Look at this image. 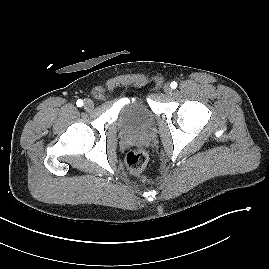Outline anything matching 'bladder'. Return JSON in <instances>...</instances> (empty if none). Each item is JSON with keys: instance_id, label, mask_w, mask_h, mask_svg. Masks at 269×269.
I'll use <instances>...</instances> for the list:
<instances>
[{"instance_id": "bladder-1", "label": "bladder", "mask_w": 269, "mask_h": 269, "mask_svg": "<svg viewBox=\"0 0 269 269\" xmlns=\"http://www.w3.org/2000/svg\"><path fill=\"white\" fill-rule=\"evenodd\" d=\"M118 127L126 134H145L155 124L152 111L145 93H136L129 97L119 112Z\"/></svg>"}]
</instances>
